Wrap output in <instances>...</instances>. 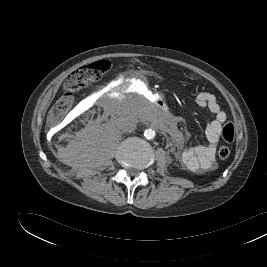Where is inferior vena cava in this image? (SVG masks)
I'll return each mask as SVG.
<instances>
[{"label":"inferior vena cava","instance_id":"602c4592","mask_svg":"<svg viewBox=\"0 0 267 267\" xmlns=\"http://www.w3.org/2000/svg\"><path fill=\"white\" fill-rule=\"evenodd\" d=\"M136 120L130 116H120L116 120V126L121 132H132L136 128Z\"/></svg>","mask_w":267,"mask_h":267}]
</instances>
